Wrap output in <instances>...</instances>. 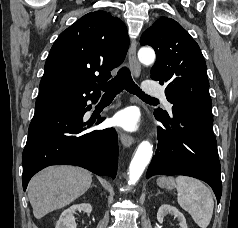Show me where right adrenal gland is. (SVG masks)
Listing matches in <instances>:
<instances>
[{"label":"right adrenal gland","mask_w":238,"mask_h":228,"mask_svg":"<svg viewBox=\"0 0 238 228\" xmlns=\"http://www.w3.org/2000/svg\"><path fill=\"white\" fill-rule=\"evenodd\" d=\"M92 186H95V187H97L95 184H93Z\"/></svg>","instance_id":"right-adrenal-gland-1"}]
</instances>
